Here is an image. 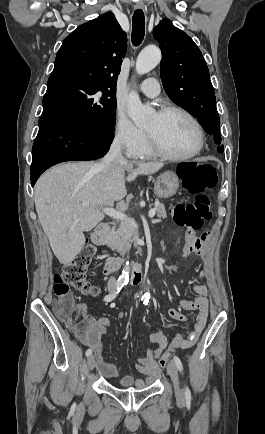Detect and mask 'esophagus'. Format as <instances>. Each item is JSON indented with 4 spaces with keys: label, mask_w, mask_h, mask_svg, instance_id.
Here are the masks:
<instances>
[{
    "label": "esophagus",
    "mask_w": 265,
    "mask_h": 434,
    "mask_svg": "<svg viewBox=\"0 0 265 434\" xmlns=\"http://www.w3.org/2000/svg\"><path fill=\"white\" fill-rule=\"evenodd\" d=\"M135 8H136V9H143V8H144V5H143V3H137V4L135 5Z\"/></svg>",
    "instance_id": "1"
}]
</instances>
